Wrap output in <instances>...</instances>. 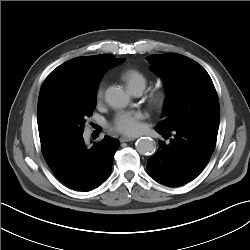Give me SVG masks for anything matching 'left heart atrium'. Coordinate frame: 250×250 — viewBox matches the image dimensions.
Segmentation results:
<instances>
[{"label": "left heart atrium", "mask_w": 250, "mask_h": 250, "mask_svg": "<svg viewBox=\"0 0 250 250\" xmlns=\"http://www.w3.org/2000/svg\"><path fill=\"white\" fill-rule=\"evenodd\" d=\"M144 118L145 115L140 111L119 112L112 122V127L127 136H135L141 132V121Z\"/></svg>", "instance_id": "left-heart-atrium-1"}]
</instances>
